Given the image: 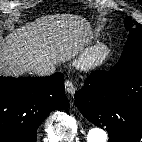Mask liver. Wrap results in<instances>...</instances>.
Wrapping results in <instances>:
<instances>
[{
	"label": "liver",
	"instance_id": "6515ba94",
	"mask_svg": "<svg viewBox=\"0 0 142 142\" xmlns=\"http://www.w3.org/2000/svg\"><path fill=\"white\" fill-rule=\"evenodd\" d=\"M90 34L89 22L78 15L46 16L27 23L0 40V74H33L39 64L65 62Z\"/></svg>",
	"mask_w": 142,
	"mask_h": 142
}]
</instances>
